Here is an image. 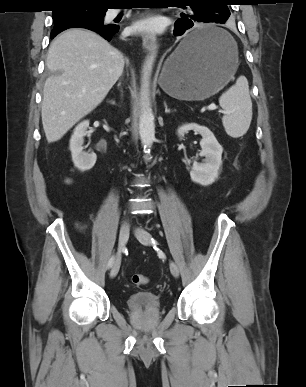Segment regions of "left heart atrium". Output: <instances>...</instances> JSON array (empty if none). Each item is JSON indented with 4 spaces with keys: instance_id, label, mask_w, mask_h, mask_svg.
Listing matches in <instances>:
<instances>
[{
    "instance_id": "obj_1",
    "label": "left heart atrium",
    "mask_w": 306,
    "mask_h": 387,
    "mask_svg": "<svg viewBox=\"0 0 306 387\" xmlns=\"http://www.w3.org/2000/svg\"><path fill=\"white\" fill-rule=\"evenodd\" d=\"M162 28V22L159 18L151 17L136 22L133 26L137 31H158Z\"/></svg>"
}]
</instances>
